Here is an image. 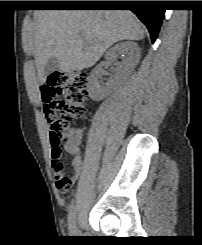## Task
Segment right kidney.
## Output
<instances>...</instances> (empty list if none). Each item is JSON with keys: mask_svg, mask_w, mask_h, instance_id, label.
<instances>
[{"mask_svg": "<svg viewBox=\"0 0 202 245\" xmlns=\"http://www.w3.org/2000/svg\"><path fill=\"white\" fill-rule=\"evenodd\" d=\"M119 55H121L123 59L121 62L116 61ZM140 58L141 51L139 46L130 41L116 44L105 54L106 61L114 63L116 66L114 72L115 78L117 79L132 72L139 63ZM103 66L104 64L101 63L92 70L87 85L89 95L95 101L102 100L109 93V87L101 86L99 82L104 72Z\"/></svg>", "mask_w": 202, "mask_h": 245, "instance_id": "obj_1", "label": "right kidney"}]
</instances>
